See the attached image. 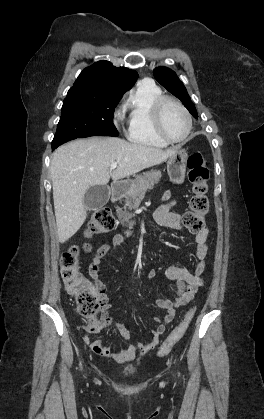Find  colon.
<instances>
[{"label":"colon","mask_w":264,"mask_h":419,"mask_svg":"<svg viewBox=\"0 0 264 419\" xmlns=\"http://www.w3.org/2000/svg\"><path fill=\"white\" fill-rule=\"evenodd\" d=\"M209 171L202 155L193 153L188 159V180L191 184V197L189 210L182 216V224L192 233L200 232L204 228V217L209 210L208 193ZM116 226L115 218L109 209L97 210L87 224L84 235L88 238L108 233ZM61 275L65 288L77 304L79 314L86 319L87 329L94 331L99 319L97 315L103 308V302L97 294L95 287L80 273L78 268V249L72 247L65 251L61 258ZM194 309H190L181 322L170 333L157 351L159 357L169 354L172 348L183 338Z\"/></svg>","instance_id":"colon-1"}]
</instances>
